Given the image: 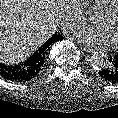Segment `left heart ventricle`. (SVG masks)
I'll return each instance as SVG.
<instances>
[{"mask_svg": "<svg viewBox=\"0 0 118 118\" xmlns=\"http://www.w3.org/2000/svg\"><path fill=\"white\" fill-rule=\"evenodd\" d=\"M95 23L105 32L108 41L118 43V3L108 16L95 18Z\"/></svg>", "mask_w": 118, "mask_h": 118, "instance_id": "obj_1", "label": "left heart ventricle"}]
</instances>
